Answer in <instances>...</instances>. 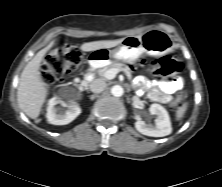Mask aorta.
<instances>
[{"label": "aorta", "mask_w": 222, "mask_h": 187, "mask_svg": "<svg viewBox=\"0 0 222 187\" xmlns=\"http://www.w3.org/2000/svg\"><path fill=\"white\" fill-rule=\"evenodd\" d=\"M124 93V90L122 88V86L120 85H114L112 88H111V94L115 97H121Z\"/></svg>", "instance_id": "1"}]
</instances>
